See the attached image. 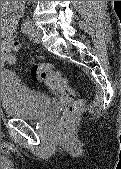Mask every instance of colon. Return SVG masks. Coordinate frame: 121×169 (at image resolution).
I'll return each instance as SVG.
<instances>
[{"mask_svg": "<svg viewBox=\"0 0 121 169\" xmlns=\"http://www.w3.org/2000/svg\"><path fill=\"white\" fill-rule=\"evenodd\" d=\"M5 36L8 43L1 44V49H4L3 56L6 63L13 64L15 62V56L12 54V51L17 48L15 33L6 32ZM31 76L34 81L45 84L50 92L66 105L64 117L54 131L57 139H66L70 132L71 119L83 108L82 101L75 100L74 91L69 86L67 79L49 63L33 64L31 67Z\"/></svg>", "mask_w": 121, "mask_h": 169, "instance_id": "obj_1", "label": "colon"}]
</instances>
